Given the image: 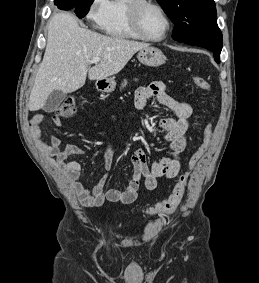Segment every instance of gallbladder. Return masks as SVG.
Returning <instances> with one entry per match:
<instances>
[{"instance_id":"1","label":"gallbladder","mask_w":259,"mask_h":283,"mask_svg":"<svg viewBox=\"0 0 259 283\" xmlns=\"http://www.w3.org/2000/svg\"><path fill=\"white\" fill-rule=\"evenodd\" d=\"M65 98L66 93L59 90H55L49 95L42 109L48 113L54 112L58 109V107Z\"/></svg>"}]
</instances>
